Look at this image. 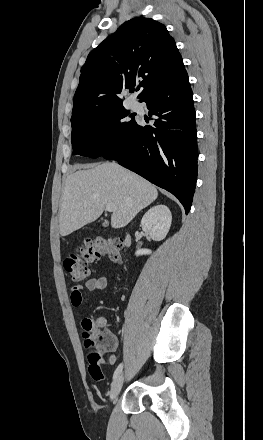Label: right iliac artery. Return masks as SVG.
<instances>
[{"instance_id":"obj_1","label":"right iliac artery","mask_w":263,"mask_h":440,"mask_svg":"<svg viewBox=\"0 0 263 440\" xmlns=\"http://www.w3.org/2000/svg\"><path fill=\"white\" fill-rule=\"evenodd\" d=\"M122 368H123V363H120L114 372L113 380H115L119 376V374L122 371Z\"/></svg>"}]
</instances>
